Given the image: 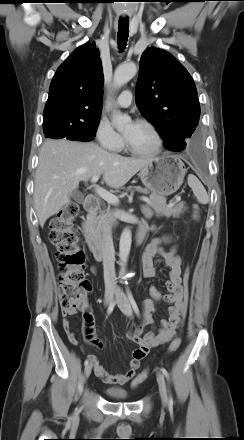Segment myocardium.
<instances>
[{
    "label": "myocardium",
    "instance_id": "1",
    "mask_svg": "<svg viewBox=\"0 0 244 440\" xmlns=\"http://www.w3.org/2000/svg\"><path fill=\"white\" fill-rule=\"evenodd\" d=\"M137 124H140V125L146 127L152 133V135L155 139V146L153 147V149H151L149 151H141V150L134 148L129 143V141L125 138L126 149L130 153L137 155V156H152V155L158 154L161 151V149L163 148V144H164V140H163V137H162L159 129L152 122H150L148 120H144V119L138 120Z\"/></svg>",
    "mask_w": 244,
    "mask_h": 440
}]
</instances>
